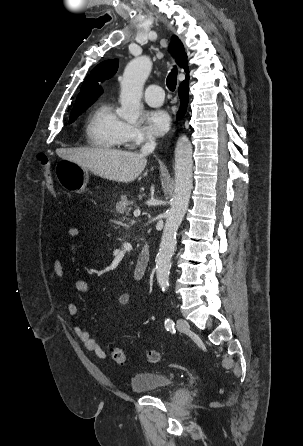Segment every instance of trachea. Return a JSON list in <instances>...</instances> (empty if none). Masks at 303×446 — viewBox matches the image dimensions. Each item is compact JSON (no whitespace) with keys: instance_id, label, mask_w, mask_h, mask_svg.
Returning <instances> with one entry per match:
<instances>
[{"instance_id":"obj_1","label":"trachea","mask_w":303,"mask_h":446,"mask_svg":"<svg viewBox=\"0 0 303 446\" xmlns=\"http://www.w3.org/2000/svg\"><path fill=\"white\" fill-rule=\"evenodd\" d=\"M167 87L169 88V90L174 91L176 88V84H177V68L174 67L172 69V71L169 73L167 80Z\"/></svg>"}]
</instances>
